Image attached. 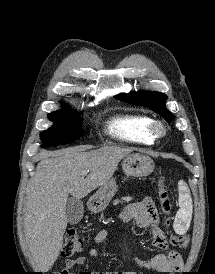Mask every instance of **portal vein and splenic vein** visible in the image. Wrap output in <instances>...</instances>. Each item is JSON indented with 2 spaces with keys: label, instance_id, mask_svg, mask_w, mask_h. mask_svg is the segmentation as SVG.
Segmentation results:
<instances>
[{
  "label": "portal vein and splenic vein",
  "instance_id": "18ae733b",
  "mask_svg": "<svg viewBox=\"0 0 215 274\" xmlns=\"http://www.w3.org/2000/svg\"><path fill=\"white\" fill-rule=\"evenodd\" d=\"M88 172H89V170H85V171L82 172V175L86 176L88 174Z\"/></svg>",
  "mask_w": 215,
  "mask_h": 274
}]
</instances>
